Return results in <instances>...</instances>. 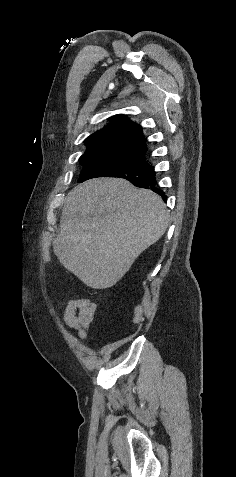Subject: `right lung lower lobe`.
<instances>
[{
	"label": "right lung lower lobe",
	"instance_id": "98d812e1",
	"mask_svg": "<svg viewBox=\"0 0 236 477\" xmlns=\"http://www.w3.org/2000/svg\"><path fill=\"white\" fill-rule=\"evenodd\" d=\"M106 177H119L141 188H150L166 198L164 192L156 187L154 168L144 159L134 165L122 168Z\"/></svg>",
	"mask_w": 236,
	"mask_h": 477
}]
</instances>
